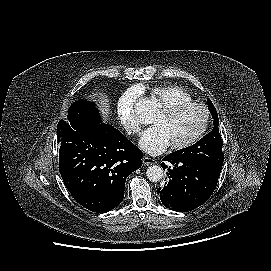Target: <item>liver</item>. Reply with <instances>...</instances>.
<instances>
[{
  "instance_id": "6515ba94",
  "label": "liver",
  "mask_w": 271,
  "mask_h": 271,
  "mask_svg": "<svg viewBox=\"0 0 271 271\" xmlns=\"http://www.w3.org/2000/svg\"><path fill=\"white\" fill-rule=\"evenodd\" d=\"M98 103L100 105V108L105 115L104 117H107L110 113V103H109V98L104 95L103 93H99L97 95Z\"/></svg>"
}]
</instances>
